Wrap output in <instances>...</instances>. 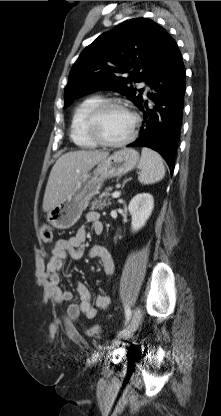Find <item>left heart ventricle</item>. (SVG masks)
<instances>
[{"instance_id": "left-heart-ventricle-1", "label": "left heart ventricle", "mask_w": 221, "mask_h": 416, "mask_svg": "<svg viewBox=\"0 0 221 416\" xmlns=\"http://www.w3.org/2000/svg\"><path fill=\"white\" fill-rule=\"evenodd\" d=\"M132 126L131 115L119 108L106 109L100 116L98 129L102 136L109 141H120L128 136Z\"/></svg>"}]
</instances>
